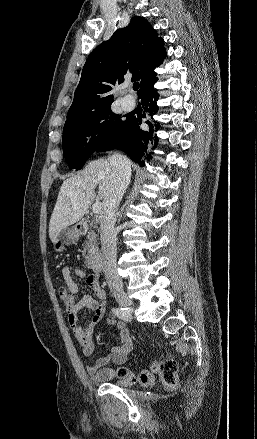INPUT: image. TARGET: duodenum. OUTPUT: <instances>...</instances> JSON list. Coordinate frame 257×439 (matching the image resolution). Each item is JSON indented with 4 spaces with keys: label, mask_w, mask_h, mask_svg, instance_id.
Returning a JSON list of instances; mask_svg holds the SVG:
<instances>
[{
    "label": "duodenum",
    "mask_w": 257,
    "mask_h": 439,
    "mask_svg": "<svg viewBox=\"0 0 257 439\" xmlns=\"http://www.w3.org/2000/svg\"><path fill=\"white\" fill-rule=\"evenodd\" d=\"M80 229L84 227L83 224L79 225ZM90 267L95 273H100L102 270V259L99 255H96L92 260L90 261Z\"/></svg>",
    "instance_id": "1"
}]
</instances>
